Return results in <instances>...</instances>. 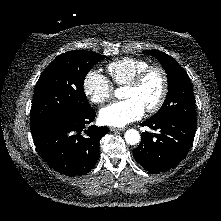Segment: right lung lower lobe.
<instances>
[{
    "label": "right lung lower lobe",
    "instance_id": "98d812e1",
    "mask_svg": "<svg viewBox=\"0 0 221 221\" xmlns=\"http://www.w3.org/2000/svg\"><path fill=\"white\" fill-rule=\"evenodd\" d=\"M94 109L81 114L55 116L31 129L34 144L42 159L56 171L67 176L84 175L97 163L99 141L109 131L108 127L86 124L95 118Z\"/></svg>",
    "mask_w": 221,
    "mask_h": 221
}]
</instances>
